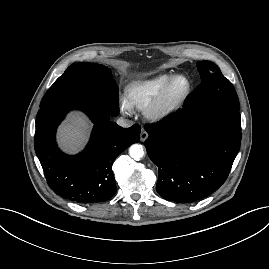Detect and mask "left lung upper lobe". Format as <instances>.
I'll list each match as a JSON object with an SVG mask.
<instances>
[{"mask_svg": "<svg viewBox=\"0 0 269 269\" xmlns=\"http://www.w3.org/2000/svg\"><path fill=\"white\" fill-rule=\"evenodd\" d=\"M201 84L187 98L183 112L192 114L219 107L240 109L234 87L217 65L209 61L197 62Z\"/></svg>", "mask_w": 269, "mask_h": 269, "instance_id": "1", "label": "left lung upper lobe"}]
</instances>
